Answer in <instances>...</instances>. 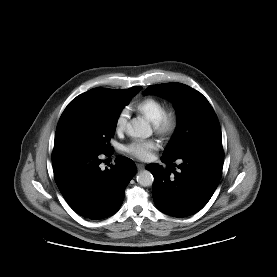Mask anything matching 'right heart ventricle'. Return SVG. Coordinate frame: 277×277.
Segmentation results:
<instances>
[{"label": "right heart ventricle", "mask_w": 277, "mask_h": 277, "mask_svg": "<svg viewBox=\"0 0 277 277\" xmlns=\"http://www.w3.org/2000/svg\"><path fill=\"white\" fill-rule=\"evenodd\" d=\"M134 109L151 123H155L166 110L165 104L158 98L145 97L135 103Z\"/></svg>", "instance_id": "obj_1"}]
</instances>
